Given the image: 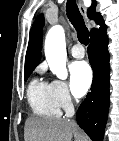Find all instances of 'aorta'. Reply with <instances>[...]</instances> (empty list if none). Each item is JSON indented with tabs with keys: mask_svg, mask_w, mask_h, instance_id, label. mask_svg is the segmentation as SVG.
<instances>
[{
	"mask_svg": "<svg viewBox=\"0 0 119 141\" xmlns=\"http://www.w3.org/2000/svg\"><path fill=\"white\" fill-rule=\"evenodd\" d=\"M45 56L49 68L59 79H66V43L64 29L60 25L53 26L45 39Z\"/></svg>",
	"mask_w": 119,
	"mask_h": 141,
	"instance_id": "1",
	"label": "aorta"
}]
</instances>
